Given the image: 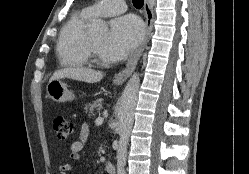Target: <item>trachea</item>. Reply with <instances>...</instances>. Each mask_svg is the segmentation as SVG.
<instances>
[{
  "instance_id": "obj_1",
  "label": "trachea",
  "mask_w": 249,
  "mask_h": 174,
  "mask_svg": "<svg viewBox=\"0 0 249 174\" xmlns=\"http://www.w3.org/2000/svg\"><path fill=\"white\" fill-rule=\"evenodd\" d=\"M135 8L140 9L144 4V0H132Z\"/></svg>"
}]
</instances>
